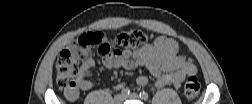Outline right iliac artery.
Returning <instances> with one entry per match:
<instances>
[{"instance_id": "obj_1", "label": "right iliac artery", "mask_w": 252, "mask_h": 104, "mask_svg": "<svg viewBox=\"0 0 252 104\" xmlns=\"http://www.w3.org/2000/svg\"><path fill=\"white\" fill-rule=\"evenodd\" d=\"M121 94L123 96H128L130 94L129 88H123L122 91H121Z\"/></svg>"}]
</instances>
